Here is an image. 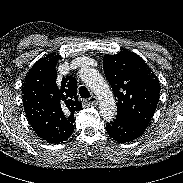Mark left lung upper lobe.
<instances>
[{
  "label": "left lung upper lobe",
  "mask_w": 183,
  "mask_h": 183,
  "mask_svg": "<svg viewBox=\"0 0 183 183\" xmlns=\"http://www.w3.org/2000/svg\"><path fill=\"white\" fill-rule=\"evenodd\" d=\"M103 69L117 101V115L148 124L159 101L160 83L137 54L123 50L105 55Z\"/></svg>",
  "instance_id": "left-lung-upper-lobe-1"
}]
</instances>
